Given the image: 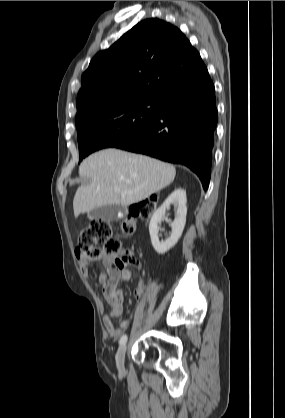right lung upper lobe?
<instances>
[{
    "mask_svg": "<svg viewBox=\"0 0 285 418\" xmlns=\"http://www.w3.org/2000/svg\"><path fill=\"white\" fill-rule=\"evenodd\" d=\"M207 72L200 54L177 27L146 19L91 60L81 79L76 123L115 105L160 104Z\"/></svg>",
    "mask_w": 285,
    "mask_h": 418,
    "instance_id": "obj_1",
    "label": "right lung upper lobe"
}]
</instances>
